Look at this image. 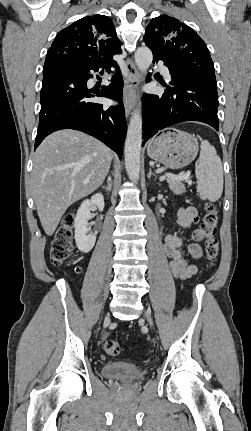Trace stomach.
Wrapping results in <instances>:
<instances>
[{
  "label": "stomach",
  "instance_id": "stomach-1",
  "mask_svg": "<svg viewBox=\"0 0 251 431\" xmlns=\"http://www.w3.org/2000/svg\"><path fill=\"white\" fill-rule=\"evenodd\" d=\"M198 153L194 136L168 128L150 140L147 155L164 166L179 169L190 164Z\"/></svg>",
  "mask_w": 251,
  "mask_h": 431
}]
</instances>
